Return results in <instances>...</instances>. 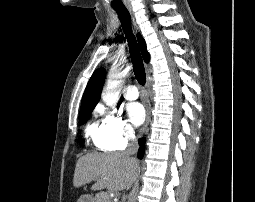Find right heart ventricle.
<instances>
[{"label": "right heart ventricle", "instance_id": "e07e8e85", "mask_svg": "<svg viewBox=\"0 0 255 202\" xmlns=\"http://www.w3.org/2000/svg\"><path fill=\"white\" fill-rule=\"evenodd\" d=\"M85 134L87 140L98 149H105L104 146V129L103 124L93 120L91 121L86 129Z\"/></svg>", "mask_w": 255, "mask_h": 202}]
</instances>
